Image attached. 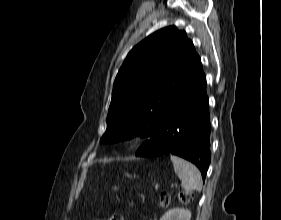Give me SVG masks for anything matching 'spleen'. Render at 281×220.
<instances>
[{"label":"spleen","mask_w":281,"mask_h":220,"mask_svg":"<svg viewBox=\"0 0 281 220\" xmlns=\"http://www.w3.org/2000/svg\"><path fill=\"white\" fill-rule=\"evenodd\" d=\"M170 159L174 166V171L181 180V185L186 191H201L203 182L200 171L192 163L171 155Z\"/></svg>","instance_id":"spleen-1"}]
</instances>
